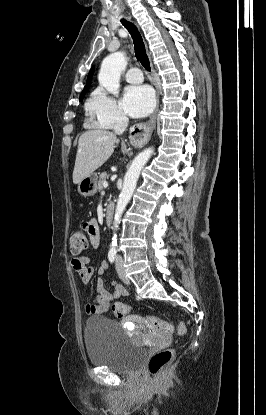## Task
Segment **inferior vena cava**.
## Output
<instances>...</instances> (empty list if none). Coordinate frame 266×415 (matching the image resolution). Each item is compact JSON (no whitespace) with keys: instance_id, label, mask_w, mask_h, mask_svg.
I'll return each mask as SVG.
<instances>
[{"instance_id":"inferior-vena-cava-1","label":"inferior vena cava","mask_w":266,"mask_h":415,"mask_svg":"<svg viewBox=\"0 0 266 415\" xmlns=\"http://www.w3.org/2000/svg\"><path fill=\"white\" fill-rule=\"evenodd\" d=\"M127 126H128V118L125 117V116H121L117 120V122L114 126L115 134H118V135L122 134L125 131V129L127 128Z\"/></svg>"}]
</instances>
